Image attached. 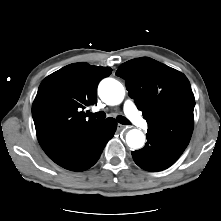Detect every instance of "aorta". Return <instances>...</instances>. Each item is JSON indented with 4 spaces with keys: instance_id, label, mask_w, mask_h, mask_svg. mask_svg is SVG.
<instances>
[{
    "instance_id": "obj_1",
    "label": "aorta",
    "mask_w": 221,
    "mask_h": 221,
    "mask_svg": "<svg viewBox=\"0 0 221 221\" xmlns=\"http://www.w3.org/2000/svg\"><path fill=\"white\" fill-rule=\"evenodd\" d=\"M98 93L105 103L117 105L122 102L125 90L119 81L112 78H105L99 84ZM126 142L130 148L139 149L144 145L145 136L142 131L132 129L126 135Z\"/></svg>"
}]
</instances>
